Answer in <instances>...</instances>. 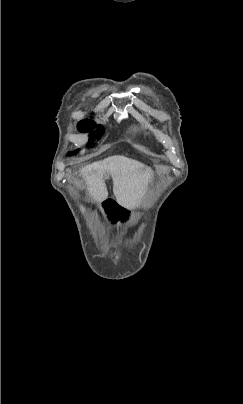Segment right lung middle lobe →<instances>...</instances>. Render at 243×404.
Listing matches in <instances>:
<instances>
[{"label":"right lung middle lobe","mask_w":243,"mask_h":404,"mask_svg":"<svg viewBox=\"0 0 243 404\" xmlns=\"http://www.w3.org/2000/svg\"><path fill=\"white\" fill-rule=\"evenodd\" d=\"M94 125L95 124L90 120H82L78 123V129L80 131H87V130L92 129L94 127ZM102 132H103L102 127L99 126L97 131H94L90 134L89 141L92 142L95 139V137L100 136L102 134ZM76 153H77V151L73 152V154H76ZM68 155H71V153H68Z\"/></svg>","instance_id":"right-lung-middle-lobe-1"}]
</instances>
